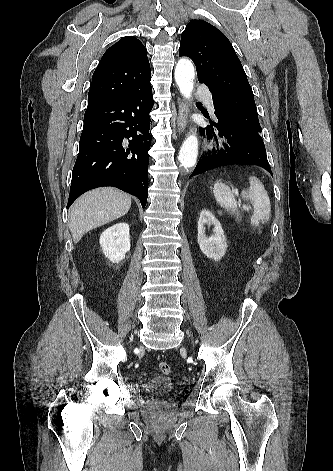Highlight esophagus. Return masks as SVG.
Masks as SVG:
<instances>
[{
    "label": "esophagus",
    "instance_id": "34e87169",
    "mask_svg": "<svg viewBox=\"0 0 333 471\" xmlns=\"http://www.w3.org/2000/svg\"><path fill=\"white\" fill-rule=\"evenodd\" d=\"M187 108L183 101L179 103V112L176 120L179 132H182L186 126Z\"/></svg>",
    "mask_w": 333,
    "mask_h": 471
}]
</instances>
